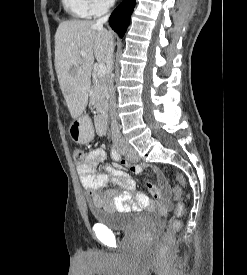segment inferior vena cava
Returning <instances> with one entry per match:
<instances>
[{"label":"inferior vena cava","mask_w":247,"mask_h":275,"mask_svg":"<svg viewBox=\"0 0 247 275\" xmlns=\"http://www.w3.org/2000/svg\"><path fill=\"white\" fill-rule=\"evenodd\" d=\"M115 0H110V5H114ZM109 14L104 17L99 18L96 21L97 26H102L104 23L108 21ZM113 52H114V43L112 37H110L109 45L107 49L106 55V64L109 67L110 74L107 77V88L109 93V113L111 119V138L115 146L120 145L123 142V138L121 136L119 126L116 120V98H115V87L114 82L111 76V71L113 68Z\"/></svg>","instance_id":"1"}]
</instances>
